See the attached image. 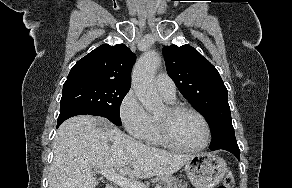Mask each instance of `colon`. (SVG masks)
I'll return each mask as SVG.
<instances>
[{
    "instance_id": "5ec220e1",
    "label": "colon",
    "mask_w": 292,
    "mask_h": 188,
    "mask_svg": "<svg viewBox=\"0 0 292 188\" xmlns=\"http://www.w3.org/2000/svg\"><path fill=\"white\" fill-rule=\"evenodd\" d=\"M234 180L231 171H228L217 188H233Z\"/></svg>"
}]
</instances>
